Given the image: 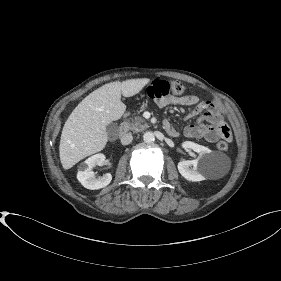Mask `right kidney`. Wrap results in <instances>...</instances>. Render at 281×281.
Instances as JSON below:
<instances>
[{"mask_svg": "<svg viewBox=\"0 0 281 281\" xmlns=\"http://www.w3.org/2000/svg\"><path fill=\"white\" fill-rule=\"evenodd\" d=\"M105 162V155L102 153L95 154L84 161L79 166L77 173L78 181L87 189L97 190L107 186L111 180L112 175L107 173L101 177L96 178L92 169L96 166H101Z\"/></svg>", "mask_w": 281, "mask_h": 281, "instance_id": "right-kidney-1", "label": "right kidney"}]
</instances>
